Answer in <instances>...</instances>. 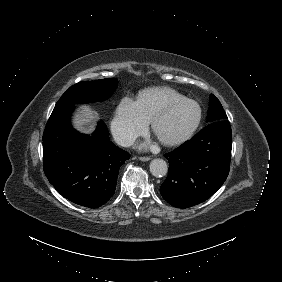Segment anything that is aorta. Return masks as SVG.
<instances>
[{"label":"aorta","instance_id":"762f6f07","mask_svg":"<svg viewBox=\"0 0 282 282\" xmlns=\"http://www.w3.org/2000/svg\"><path fill=\"white\" fill-rule=\"evenodd\" d=\"M149 169L155 177H163L167 173L168 166L164 159L154 158L150 162Z\"/></svg>","mask_w":282,"mask_h":282}]
</instances>
